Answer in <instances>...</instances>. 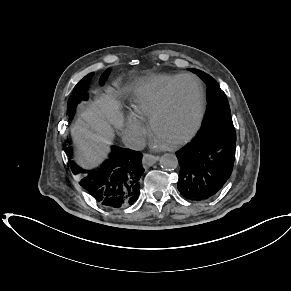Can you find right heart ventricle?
<instances>
[{"label":"right heart ventricle","mask_w":291,"mask_h":291,"mask_svg":"<svg viewBox=\"0 0 291 291\" xmlns=\"http://www.w3.org/2000/svg\"><path fill=\"white\" fill-rule=\"evenodd\" d=\"M179 75H156L146 78L136 91L132 102V114L139 120L149 119L158 107L167 89Z\"/></svg>","instance_id":"e07e8e85"}]
</instances>
